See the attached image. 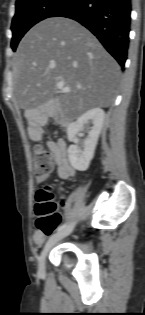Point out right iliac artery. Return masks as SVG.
Returning <instances> with one entry per match:
<instances>
[{
	"mask_svg": "<svg viewBox=\"0 0 145 315\" xmlns=\"http://www.w3.org/2000/svg\"><path fill=\"white\" fill-rule=\"evenodd\" d=\"M67 226V224L65 223V224H62L61 226H59L58 228H57V230L56 231H61V230H63L65 227Z\"/></svg>",
	"mask_w": 145,
	"mask_h": 315,
	"instance_id": "1",
	"label": "right iliac artery"
}]
</instances>
